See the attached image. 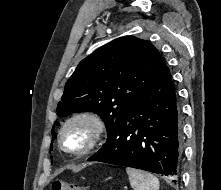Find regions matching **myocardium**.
I'll return each mask as SVG.
<instances>
[{
	"mask_svg": "<svg viewBox=\"0 0 221 190\" xmlns=\"http://www.w3.org/2000/svg\"><path fill=\"white\" fill-rule=\"evenodd\" d=\"M77 121H84L88 123L91 128V135L85 147L81 149H72L66 146L64 141V134L67 127ZM104 132L105 122L98 113L91 110H81L71 114L63 121L59 131L58 142L60 147L64 151L73 155L82 156L90 153L97 147V145L103 137Z\"/></svg>",
	"mask_w": 221,
	"mask_h": 190,
	"instance_id": "obj_1",
	"label": "myocardium"
}]
</instances>
